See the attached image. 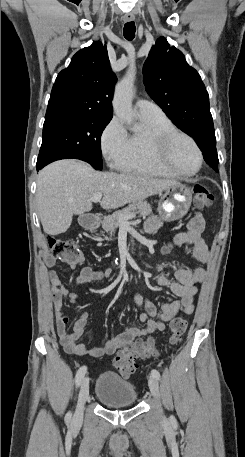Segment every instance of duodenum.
<instances>
[{
  "label": "duodenum",
  "instance_id": "obj_1",
  "mask_svg": "<svg viewBox=\"0 0 245 457\" xmlns=\"http://www.w3.org/2000/svg\"><path fill=\"white\" fill-rule=\"evenodd\" d=\"M97 223V217L95 215L89 214L85 215L82 218V224L84 226H94Z\"/></svg>",
  "mask_w": 245,
  "mask_h": 457
}]
</instances>
